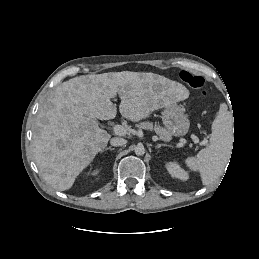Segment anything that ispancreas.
<instances>
[{
    "label": "pancreas",
    "instance_id": "obj_1",
    "mask_svg": "<svg viewBox=\"0 0 259 259\" xmlns=\"http://www.w3.org/2000/svg\"><path fill=\"white\" fill-rule=\"evenodd\" d=\"M137 127L142 129H149V130L154 129L155 132L160 136V139L164 141H169L171 139L170 133L159 125L153 127V124L150 122H142L139 125H137Z\"/></svg>",
    "mask_w": 259,
    "mask_h": 259
}]
</instances>
